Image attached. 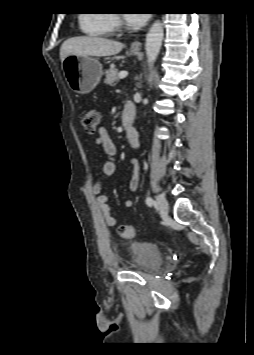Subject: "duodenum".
Wrapping results in <instances>:
<instances>
[{
    "mask_svg": "<svg viewBox=\"0 0 254 355\" xmlns=\"http://www.w3.org/2000/svg\"><path fill=\"white\" fill-rule=\"evenodd\" d=\"M125 108L126 111L123 113L122 116V124L124 127V130L130 134L134 131V104L132 102H126L125 103Z\"/></svg>",
    "mask_w": 254,
    "mask_h": 355,
    "instance_id": "duodenum-1",
    "label": "duodenum"
}]
</instances>
